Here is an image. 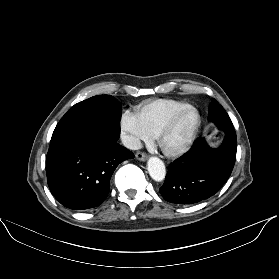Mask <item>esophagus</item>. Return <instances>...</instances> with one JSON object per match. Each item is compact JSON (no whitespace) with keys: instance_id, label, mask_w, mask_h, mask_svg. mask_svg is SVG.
Here are the masks:
<instances>
[{"instance_id":"1","label":"esophagus","mask_w":279,"mask_h":279,"mask_svg":"<svg viewBox=\"0 0 279 279\" xmlns=\"http://www.w3.org/2000/svg\"><path fill=\"white\" fill-rule=\"evenodd\" d=\"M136 158L140 161H145L148 158V156L142 152H137Z\"/></svg>"}]
</instances>
